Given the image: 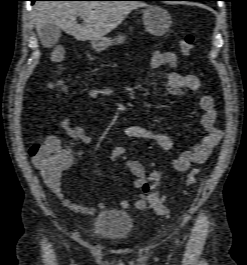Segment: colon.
Here are the masks:
<instances>
[{
  "label": "colon",
  "instance_id": "5ec220e1",
  "mask_svg": "<svg viewBox=\"0 0 247 265\" xmlns=\"http://www.w3.org/2000/svg\"><path fill=\"white\" fill-rule=\"evenodd\" d=\"M195 38L192 34H186L179 40V49L183 55L191 54L194 47ZM51 61L60 68L65 63V51L62 47H56L51 52ZM50 87L58 92L63 91L64 86L62 82L57 79L50 83ZM30 155L39 164V166L51 173L64 172L68 168V156L63 149L54 145H46L45 142L35 143L30 148ZM125 155V149L122 146L114 147L111 150L110 158L118 160ZM199 168L195 167L190 170L187 176V183L192 185L195 183L199 174ZM151 180L153 184L150 186L151 193L148 195V200L153 210L158 215H167L169 210L163 204L157 189L161 182V173L155 170L151 173Z\"/></svg>",
  "mask_w": 247,
  "mask_h": 265
}]
</instances>
